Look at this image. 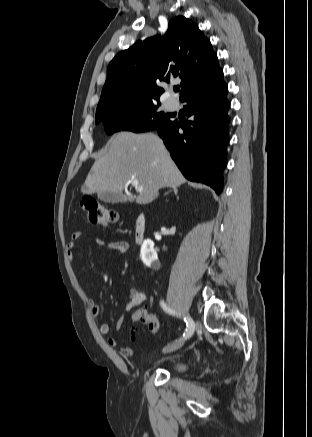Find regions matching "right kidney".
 <instances>
[{
  "label": "right kidney",
  "instance_id": "ca27d5eb",
  "mask_svg": "<svg viewBox=\"0 0 312 437\" xmlns=\"http://www.w3.org/2000/svg\"><path fill=\"white\" fill-rule=\"evenodd\" d=\"M140 257L146 266L152 267L153 269H158L160 267L157 252L154 249V242L152 240H144L141 246Z\"/></svg>",
  "mask_w": 312,
  "mask_h": 437
}]
</instances>
